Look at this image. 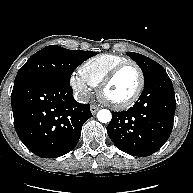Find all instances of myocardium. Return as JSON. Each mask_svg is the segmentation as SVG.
Wrapping results in <instances>:
<instances>
[{
	"instance_id": "f54148a6",
	"label": "myocardium",
	"mask_w": 193,
	"mask_h": 193,
	"mask_svg": "<svg viewBox=\"0 0 193 193\" xmlns=\"http://www.w3.org/2000/svg\"><path fill=\"white\" fill-rule=\"evenodd\" d=\"M129 66L136 68L139 74V84H138L136 91L133 93V95L130 98H128L127 100L123 102L115 103V102L109 101L104 95L106 88L109 86V84L113 81V79L117 76V74L120 71H122L124 68L129 67ZM144 86H145V76H144V73L141 67L133 61H126L114 67L103 78V80L101 81V83L98 86V96L100 100L105 105L109 106L110 108L115 109V110H123V109H127L131 107L139 99V97L141 96L143 92Z\"/></svg>"
}]
</instances>
